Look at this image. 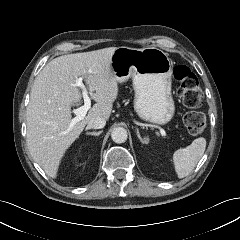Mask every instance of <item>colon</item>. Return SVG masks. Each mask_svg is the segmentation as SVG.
Here are the masks:
<instances>
[{
    "mask_svg": "<svg viewBox=\"0 0 240 240\" xmlns=\"http://www.w3.org/2000/svg\"><path fill=\"white\" fill-rule=\"evenodd\" d=\"M173 78L179 84L177 95L186 107L196 108L203 103L199 81L191 69L178 65L173 70ZM184 124L191 135L202 134L206 129L205 116L197 111L188 112L184 116Z\"/></svg>",
    "mask_w": 240,
    "mask_h": 240,
    "instance_id": "1",
    "label": "colon"
}]
</instances>
